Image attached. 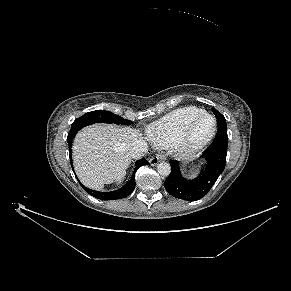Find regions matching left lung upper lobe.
<instances>
[{
  "instance_id": "left-lung-upper-lobe-1",
  "label": "left lung upper lobe",
  "mask_w": 291,
  "mask_h": 291,
  "mask_svg": "<svg viewBox=\"0 0 291 291\" xmlns=\"http://www.w3.org/2000/svg\"><path fill=\"white\" fill-rule=\"evenodd\" d=\"M213 113L215 114L217 118V125H218V130H225L227 131V125H226V120L225 117L218 112L216 109H212Z\"/></svg>"
}]
</instances>
